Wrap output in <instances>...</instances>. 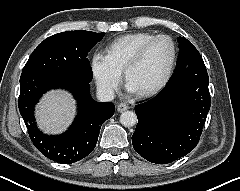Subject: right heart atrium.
I'll list each match as a JSON object with an SVG mask.
<instances>
[{"label":"right heart atrium","instance_id":"obj_1","mask_svg":"<svg viewBox=\"0 0 240 191\" xmlns=\"http://www.w3.org/2000/svg\"><path fill=\"white\" fill-rule=\"evenodd\" d=\"M91 72L98 89L107 96H112L118 89L122 71H120L103 53L93 54L90 62Z\"/></svg>","mask_w":240,"mask_h":191}]
</instances>
